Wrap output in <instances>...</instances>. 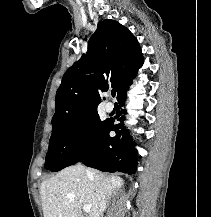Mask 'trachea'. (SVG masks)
I'll use <instances>...</instances> for the list:
<instances>
[{"mask_svg":"<svg viewBox=\"0 0 211 217\" xmlns=\"http://www.w3.org/2000/svg\"><path fill=\"white\" fill-rule=\"evenodd\" d=\"M111 94H112L113 97H115L116 91H115V90H112V91H111Z\"/></svg>","mask_w":211,"mask_h":217,"instance_id":"3493384b","label":"trachea"}]
</instances>
